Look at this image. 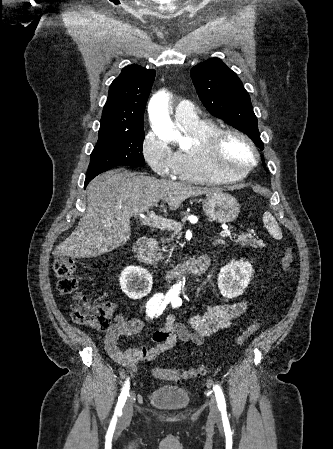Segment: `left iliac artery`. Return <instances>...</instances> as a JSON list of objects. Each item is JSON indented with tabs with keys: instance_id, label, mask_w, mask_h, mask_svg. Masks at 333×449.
Returning a JSON list of instances; mask_svg holds the SVG:
<instances>
[{
	"instance_id": "left-iliac-artery-1",
	"label": "left iliac artery",
	"mask_w": 333,
	"mask_h": 449,
	"mask_svg": "<svg viewBox=\"0 0 333 449\" xmlns=\"http://www.w3.org/2000/svg\"><path fill=\"white\" fill-rule=\"evenodd\" d=\"M171 303H172V305L174 307L179 305V304H177L175 302V300H172ZM213 390H214L215 397H216V400H217L218 408H219V410L222 413V417L226 418V402H225L224 394H223V392L221 390V387L219 385L215 384L213 386Z\"/></svg>"
}]
</instances>
